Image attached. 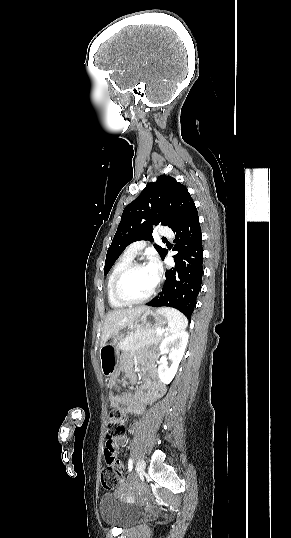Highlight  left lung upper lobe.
Returning a JSON list of instances; mask_svg holds the SVG:
<instances>
[{"mask_svg": "<svg viewBox=\"0 0 291 538\" xmlns=\"http://www.w3.org/2000/svg\"><path fill=\"white\" fill-rule=\"evenodd\" d=\"M195 208L187 188L175 178L161 175L156 182L148 183L141 194L124 208L107 251L104 275L129 244L138 240L153 242V226L168 225L174 230ZM154 247L163 258L167 250L156 244Z\"/></svg>", "mask_w": 291, "mask_h": 538, "instance_id": "5c2ea615", "label": "left lung upper lobe"}]
</instances>
